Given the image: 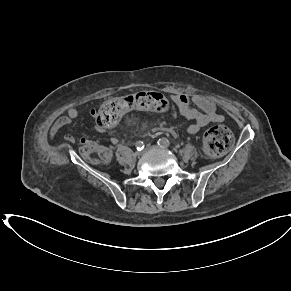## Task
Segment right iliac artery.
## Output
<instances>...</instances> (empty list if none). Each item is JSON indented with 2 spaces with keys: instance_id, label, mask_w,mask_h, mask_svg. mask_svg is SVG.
<instances>
[{
  "instance_id": "82829eb1",
  "label": "right iliac artery",
  "mask_w": 291,
  "mask_h": 291,
  "mask_svg": "<svg viewBox=\"0 0 291 291\" xmlns=\"http://www.w3.org/2000/svg\"><path fill=\"white\" fill-rule=\"evenodd\" d=\"M136 148L138 151H141L144 148V143L142 141H138L136 143Z\"/></svg>"
}]
</instances>
